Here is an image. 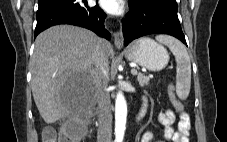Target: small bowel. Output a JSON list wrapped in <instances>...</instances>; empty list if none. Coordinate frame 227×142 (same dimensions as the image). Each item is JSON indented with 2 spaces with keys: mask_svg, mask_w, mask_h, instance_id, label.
<instances>
[{
  "mask_svg": "<svg viewBox=\"0 0 227 142\" xmlns=\"http://www.w3.org/2000/svg\"><path fill=\"white\" fill-rule=\"evenodd\" d=\"M146 104V103H145ZM179 113L178 130L173 128L176 116L172 110H167L158 114L157 120L164 126V139L172 142H189V131L191 128V122L189 115L183 110ZM153 135L150 132H145L140 142H152ZM156 142H165L159 140Z\"/></svg>",
  "mask_w": 227,
  "mask_h": 142,
  "instance_id": "obj_1",
  "label": "small bowel"
}]
</instances>
